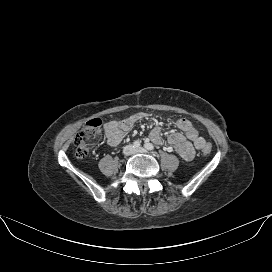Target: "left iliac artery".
Instances as JSON below:
<instances>
[{
	"mask_svg": "<svg viewBox=\"0 0 272 272\" xmlns=\"http://www.w3.org/2000/svg\"><path fill=\"white\" fill-rule=\"evenodd\" d=\"M144 147H145L147 150H150V151L154 150V146H153L151 143H146V144L144 145Z\"/></svg>",
	"mask_w": 272,
	"mask_h": 272,
	"instance_id": "1",
	"label": "left iliac artery"
}]
</instances>
